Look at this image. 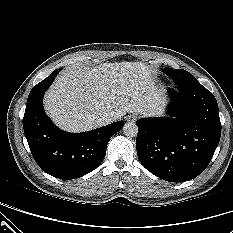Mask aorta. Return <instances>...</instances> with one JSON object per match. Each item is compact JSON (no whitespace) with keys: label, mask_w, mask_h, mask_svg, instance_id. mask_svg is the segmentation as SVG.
Masks as SVG:
<instances>
[{"label":"aorta","mask_w":233,"mask_h":233,"mask_svg":"<svg viewBox=\"0 0 233 233\" xmlns=\"http://www.w3.org/2000/svg\"><path fill=\"white\" fill-rule=\"evenodd\" d=\"M122 130L126 137H135L138 133V127L134 122L124 124Z\"/></svg>","instance_id":"aorta-1"}]
</instances>
